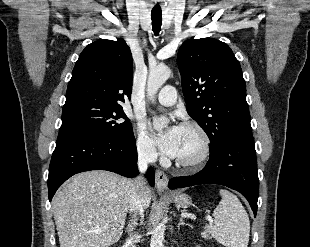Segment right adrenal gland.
<instances>
[{"label":"right adrenal gland","mask_w":310,"mask_h":247,"mask_svg":"<svg viewBox=\"0 0 310 247\" xmlns=\"http://www.w3.org/2000/svg\"><path fill=\"white\" fill-rule=\"evenodd\" d=\"M136 224H137V217H136V214H133L128 226L126 227L127 232L131 233L134 230V227L136 226Z\"/></svg>","instance_id":"2a0ac1e0"}]
</instances>
